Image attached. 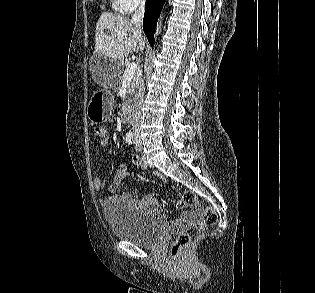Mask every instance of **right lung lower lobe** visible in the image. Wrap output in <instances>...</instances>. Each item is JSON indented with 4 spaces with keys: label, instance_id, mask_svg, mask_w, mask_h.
I'll return each instance as SVG.
<instances>
[{
    "label": "right lung lower lobe",
    "instance_id": "1",
    "mask_svg": "<svg viewBox=\"0 0 315 293\" xmlns=\"http://www.w3.org/2000/svg\"><path fill=\"white\" fill-rule=\"evenodd\" d=\"M165 0H146L143 30L151 46L154 45L153 32Z\"/></svg>",
    "mask_w": 315,
    "mask_h": 293
}]
</instances>
